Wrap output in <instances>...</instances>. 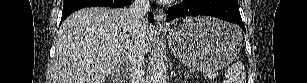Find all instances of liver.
Here are the masks:
<instances>
[{"mask_svg": "<svg viewBox=\"0 0 307 83\" xmlns=\"http://www.w3.org/2000/svg\"><path fill=\"white\" fill-rule=\"evenodd\" d=\"M130 25L128 8L89 7L71 14L58 32L54 83H104L127 60ZM154 36V27L147 23L144 53L151 50Z\"/></svg>", "mask_w": 307, "mask_h": 83, "instance_id": "1", "label": "liver"}]
</instances>
